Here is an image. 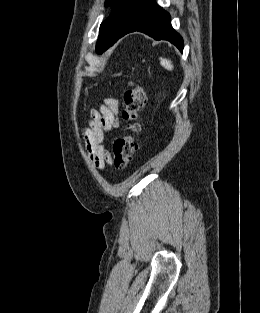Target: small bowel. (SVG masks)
I'll list each match as a JSON object with an SVG mask.
<instances>
[{
    "instance_id": "obj_1",
    "label": "small bowel",
    "mask_w": 260,
    "mask_h": 313,
    "mask_svg": "<svg viewBox=\"0 0 260 313\" xmlns=\"http://www.w3.org/2000/svg\"><path fill=\"white\" fill-rule=\"evenodd\" d=\"M120 102L117 98H105L98 109L90 112L88 125L83 135L89 158L98 170L112 163V155L103 145L104 133L120 127Z\"/></svg>"
}]
</instances>
